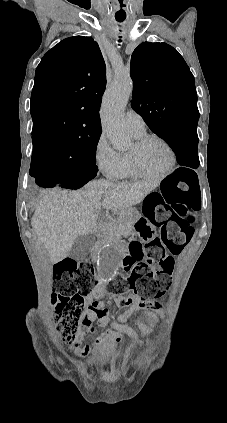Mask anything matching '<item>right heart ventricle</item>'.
<instances>
[{
	"label": "right heart ventricle",
	"mask_w": 227,
	"mask_h": 423,
	"mask_svg": "<svg viewBox=\"0 0 227 423\" xmlns=\"http://www.w3.org/2000/svg\"><path fill=\"white\" fill-rule=\"evenodd\" d=\"M132 135L135 139H140V138L144 137L146 134L145 133H143V134L132 133ZM121 155H122V158H123V161H124V175H123V177L133 176L134 174H133V171H132V168H131L129 154L122 153Z\"/></svg>",
	"instance_id": "obj_1"
}]
</instances>
